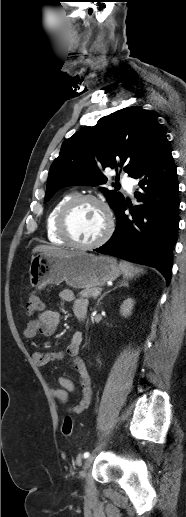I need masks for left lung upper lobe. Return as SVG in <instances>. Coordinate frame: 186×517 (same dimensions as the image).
Returning a JSON list of instances; mask_svg holds the SVG:
<instances>
[{"label": "left lung upper lobe", "mask_w": 186, "mask_h": 517, "mask_svg": "<svg viewBox=\"0 0 186 517\" xmlns=\"http://www.w3.org/2000/svg\"><path fill=\"white\" fill-rule=\"evenodd\" d=\"M165 137L156 118L138 106L102 117L95 126H86L63 142L50 167L45 202L65 186L105 184L102 171L108 167H124L132 176ZM101 190L114 211L124 203L121 193Z\"/></svg>", "instance_id": "left-lung-upper-lobe-1"}]
</instances>
